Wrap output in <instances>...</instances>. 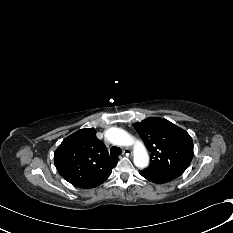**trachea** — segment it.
Masks as SVG:
<instances>
[{
	"mask_svg": "<svg viewBox=\"0 0 233 233\" xmlns=\"http://www.w3.org/2000/svg\"><path fill=\"white\" fill-rule=\"evenodd\" d=\"M121 153H122V150L119 147L112 146L110 148V155H111V157L119 156Z\"/></svg>",
	"mask_w": 233,
	"mask_h": 233,
	"instance_id": "obj_1",
	"label": "trachea"
}]
</instances>
